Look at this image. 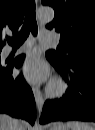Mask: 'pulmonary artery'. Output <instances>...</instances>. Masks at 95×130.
I'll list each match as a JSON object with an SVG mask.
<instances>
[{
    "mask_svg": "<svg viewBox=\"0 0 95 130\" xmlns=\"http://www.w3.org/2000/svg\"><path fill=\"white\" fill-rule=\"evenodd\" d=\"M39 41L40 42H57L58 41V38L56 36V34L54 32H51V31H47V30H43L41 31L40 33V36H39ZM25 45L23 46H20L16 51L15 53H20L22 52L24 49H25ZM12 53V50L11 49H8L5 51V55H10Z\"/></svg>",
    "mask_w": 95,
    "mask_h": 130,
    "instance_id": "1",
    "label": "pulmonary artery"
}]
</instances>
